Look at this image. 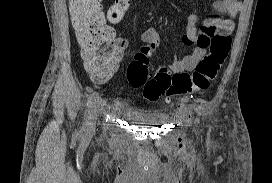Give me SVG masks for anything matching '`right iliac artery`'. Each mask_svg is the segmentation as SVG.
Segmentation results:
<instances>
[{
    "mask_svg": "<svg viewBox=\"0 0 272 183\" xmlns=\"http://www.w3.org/2000/svg\"><path fill=\"white\" fill-rule=\"evenodd\" d=\"M97 99H98L97 92L92 93L88 97V101L86 104V111H85V115H84V122H83L82 128L80 130L81 134H84L87 131V127L89 125V121L91 118V112H92V109H93Z\"/></svg>",
    "mask_w": 272,
    "mask_h": 183,
    "instance_id": "82829eb1",
    "label": "right iliac artery"
}]
</instances>
